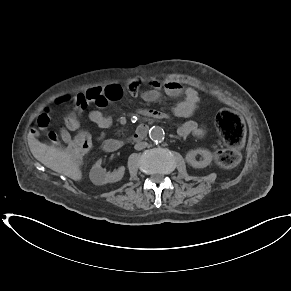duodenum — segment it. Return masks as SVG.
Instances as JSON below:
<instances>
[{
	"mask_svg": "<svg viewBox=\"0 0 291 291\" xmlns=\"http://www.w3.org/2000/svg\"><path fill=\"white\" fill-rule=\"evenodd\" d=\"M147 126L145 124H141L137 130L129 137L128 142H137L143 139L147 134ZM124 141L118 139H107L103 143L104 151L111 153L119 150L123 145Z\"/></svg>",
	"mask_w": 291,
	"mask_h": 291,
	"instance_id": "410a0bca",
	"label": "duodenum"
}]
</instances>
